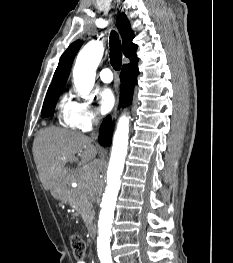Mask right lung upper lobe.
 <instances>
[{"label":"right lung upper lobe","instance_id":"obj_1","mask_svg":"<svg viewBox=\"0 0 233 263\" xmlns=\"http://www.w3.org/2000/svg\"><path fill=\"white\" fill-rule=\"evenodd\" d=\"M117 26L122 36L124 55L128 57L131 62L137 61V45L132 43L134 32L131 30L130 22L124 13L120 14V16L118 17ZM81 45L82 42L80 40H77L76 42L72 43L62 54L58 67L54 73L52 84L49 86L48 90L64 87L68 79L74 57L80 49Z\"/></svg>","mask_w":233,"mask_h":263}]
</instances>
